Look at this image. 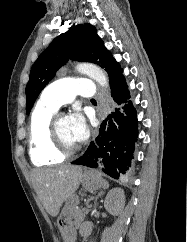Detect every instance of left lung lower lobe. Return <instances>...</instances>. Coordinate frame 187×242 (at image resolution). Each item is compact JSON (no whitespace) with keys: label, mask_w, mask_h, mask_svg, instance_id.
Here are the masks:
<instances>
[{"label":"left lung lower lobe","mask_w":187,"mask_h":242,"mask_svg":"<svg viewBox=\"0 0 187 242\" xmlns=\"http://www.w3.org/2000/svg\"><path fill=\"white\" fill-rule=\"evenodd\" d=\"M110 88L111 96L119 107L102 122L99 136L72 164L99 168L118 179L131 165L138 137V121L124 76L116 78Z\"/></svg>","instance_id":"0a47b994"}]
</instances>
